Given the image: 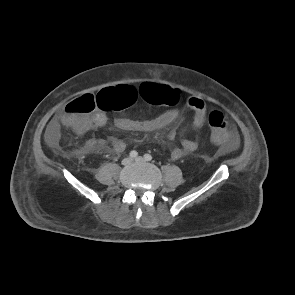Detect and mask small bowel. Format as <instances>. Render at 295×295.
I'll use <instances>...</instances> for the list:
<instances>
[{"instance_id":"c3829d8e","label":"small bowel","mask_w":295,"mask_h":295,"mask_svg":"<svg viewBox=\"0 0 295 295\" xmlns=\"http://www.w3.org/2000/svg\"><path fill=\"white\" fill-rule=\"evenodd\" d=\"M178 91V90H176ZM180 93V91H178ZM187 106L193 112L192 119V130L194 132H199L206 121V105L205 102L197 97H191L187 100ZM180 115V111L177 108H171L158 117L152 120L137 121L125 117H117L114 119V125L117 129L129 132H140V133H158L164 130L166 127L175 122ZM107 116L101 111H96L86 117L81 125L75 129L78 134H84L90 129L97 127H104L107 124ZM176 136V131L174 129L167 133L169 139H174ZM60 138V120L59 118H54L48 125L45 133V140L49 147L56 148L59 143ZM237 136L235 135L234 141L229 144L230 148H234L237 145ZM199 146L198 139L184 138L182 140L181 146L172 149L170 157L173 160H179L185 156L190 155ZM107 145L98 139H90L84 150L86 152H98L106 150ZM126 144L120 139L111 140V149L116 153H121L125 150Z\"/></svg>"}]
</instances>
